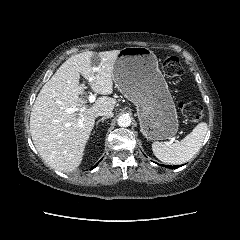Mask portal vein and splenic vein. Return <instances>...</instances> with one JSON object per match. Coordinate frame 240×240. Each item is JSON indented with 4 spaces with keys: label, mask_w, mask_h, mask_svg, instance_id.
I'll use <instances>...</instances> for the list:
<instances>
[{
    "label": "portal vein and splenic vein",
    "mask_w": 240,
    "mask_h": 240,
    "mask_svg": "<svg viewBox=\"0 0 240 240\" xmlns=\"http://www.w3.org/2000/svg\"><path fill=\"white\" fill-rule=\"evenodd\" d=\"M92 81H93V78L90 77V78H89V82H92ZM95 99H96V96H95L94 94H92V93L88 96V100H89L90 103L94 102ZM78 110H79V109L76 108V107H71V108H68V109L66 110V112L70 114V113L76 112V111H78ZM80 111H83V109H80Z\"/></svg>",
    "instance_id": "1"
}]
</instances>
